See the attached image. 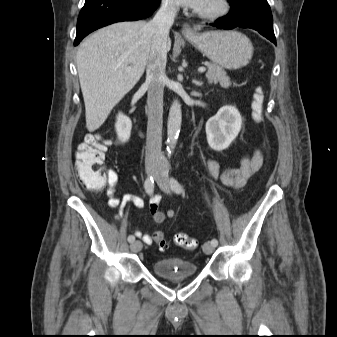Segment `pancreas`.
<instances>
[{"mask_svg":"<svg viewBox=\"0 0 337 337\" xmlns=\"http://www.w3.org/2000/svg\"><path fill=\"white\" fill-rule=\"evenodd\" d=\"M204 64L208 67L206 78L210 84L220 83L223 88H229L232 85L230 78L221 66L210 62H205Z\"/></svg>","mask_w":337,"mask_h":337,"instance_id":"pancreas-1","label":"pancreas"}]
</instances>
